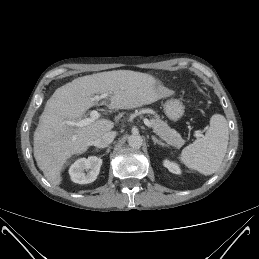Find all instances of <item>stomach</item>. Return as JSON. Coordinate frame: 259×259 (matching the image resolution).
<instances>
[{
  "mask_svg": "<svg viewBox=\"0 0 259 259\" xmlns=\"http://www.w3.org/2000/svg\"><path fill=\"white\" fill-rule=\"evenodd\" d=\"M164 112L169 119L177 121L184 114V105L180 100L169 99L164 104Z\"/></svg>",
  "mask_w": 259,
  "mask_h": 259,
  "instance_id": "obj_1",
  "label": "stomach"
}]
</instances>
